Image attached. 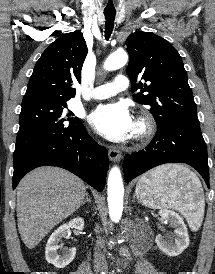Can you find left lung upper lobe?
<instances>
[{
    "instance_id": "5c2ea615",
    "label": "left lung upper lobe",
    "mask_w": 215,
    "mask_h": 274,
    "mask_svg": "<svg viewBox=\"0 0 215 274\" xmlns=\"http://www.w3.org/2000/svg\"><path fill=\"white\" fill-rule=\"evenodd\" d=\"M130 61L127 74L136 102L150 106L157 127L171 123L199 125L187 73L177 50L150 32H135L126 40ZM143 79L147 83L139 82Z\"/></svg>"
}]
</instances>
